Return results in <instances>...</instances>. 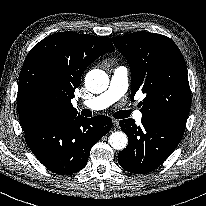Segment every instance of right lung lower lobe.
<instances>
[{
	"label": "right lung lower lobe",
	"mask_w": 206,
	"mask_h": 206,
	"mask_svg": "<svg viewBox=\"0 0 206 206\" xmlns=\"http://www.w3.org/2000/svg\"><path fill=\"white\" fill-rule=\"evenodd\" d=\"M111 127L112 120L107 116L79 115L25 132V141L47 169L67 175L85 167L92 146Z\"/></svg>",
	"instance_id": "1"
}]
</instances>
